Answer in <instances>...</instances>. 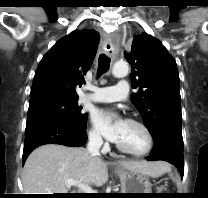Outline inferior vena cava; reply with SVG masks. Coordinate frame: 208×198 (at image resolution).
Returning <instances> with one entry per match:
<instances>
[{"label": "inferior vena cava", "mask_w": 208, "mask_h": 198, "mask_svg": "<svg viewBox=\"0 0 208 198\" xmlns=\"http://www.w3.org/2000/svg\"><path fill=\"white\" fill-rule=\"evenodd\" d=\"M102 145V139L99 136H92L89 138L86 151L91 156H100L99 149Z\"/></svg>", "instance_id": "inferior-vena-cava-1"}]
</instances>
